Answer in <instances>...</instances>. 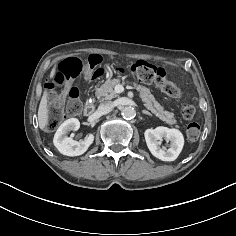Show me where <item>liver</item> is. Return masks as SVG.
I'll use <instances>...</instances> for the list:
<instances>
[{"mask_svg":"<svg viewBox=\"0 0 236 236\" xmlns=\"http://www.w3.org/2000/svg\"><path fill=\"white\" fill-rule=\"evenodd\" d=\"M56 73V65L52 68L50 78L52 79ZM48 93L44 91L38 109V123L41 130L48 124Z\"/></svg>","mask_w":236,"mask_h":236,"instance_id":"obj_1","label":"liver"}]
</instances>
